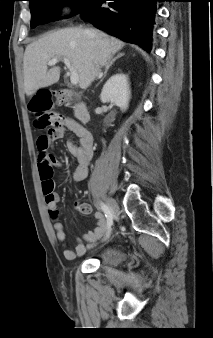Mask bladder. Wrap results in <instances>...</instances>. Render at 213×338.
Returning <instances> with one entry per match:
<instances>
[{"mask_svg": "<svg viewBox=\"0 0 213 338\" xmlns=\"http://www.w3.org/2000/svg\"><path fill=\"white\" fill-rule=\"evenodd\" d=\"M96 261L101 267L114 269L122 263V250L114 244L106 245L100 250Z\"/></svg>", "mask_w": 213, "mask_h": 338, "instance_id": "bladder-1", "label": "bladder"}]
</instances>
